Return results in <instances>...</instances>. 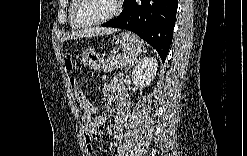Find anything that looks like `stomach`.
Masks as SVG:
<instances>
[{
  "mask_svg": "<svg viewBox=\"0 0 247 156\" xmlns=\"http://www.w3.org/2000/svg\"><path fill=\"white\" fill-rule=\"evenodd\" d=\"M114 44L120 48L123 53L130 57H135L142 52V43L140 39L130 32H122L114 37ZM83 62L90 69L100 70L103 68L104 60L94 49H86L82 54Z\"/></svg>",
  "mask_w": 247,
  "mask_h": 156,
  "instance_id": "1",
  "label": "stomach"
}]
</instances>
